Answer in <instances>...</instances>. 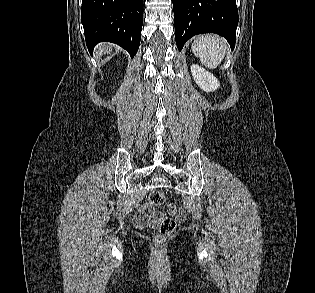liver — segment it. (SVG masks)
Segmentation results:
<instances>
[{
	"instance_id": "liver-1",
	"label": "liver",
	"mask_w": 315,
	"mask_h": 293,
	"mask_svg": "<svg viewBox=\"0 0 315 293\" xmlns=\"http://www.w3.org/2000/svg\"><path fill=\"white\" fill-rule=\"evenodd\" d=\"M97 51H99V53H105V52H109L110 51V46H108L107 44H103V45H98L97 46Z\"/></svg>"
}]
</instances>
